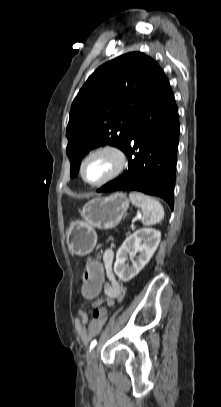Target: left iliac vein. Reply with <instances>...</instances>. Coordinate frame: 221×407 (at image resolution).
<instances>
[{
    "label": "left iliac vein",
    "instance_id": "1",
    "mask_svg": "<svg viewBox=\"0 0 221 407\" xmlns=\"http://www.w3.org/2000/svg\"><path fill=\"white\" fill-rule=\"evenodd\" d=\"M97 373V361L96 350H93L89 356V362L87 366V377L92 378Z\"/></svg>",
    "mask_w": 221,
    "mask_h": 407
}]
</instances>
